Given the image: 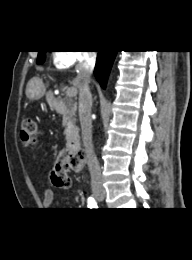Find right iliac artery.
<instances>
[{
  "mask_svg": "<svg viewBox=\"0 0 192 260\" xmlns=\"http://www.w3.org/2000/svg\"><path fill=\"white\" fill-rule=\"evenodd\" d=\"M87 205H88V208H91V209L97 208V202L92 197H89L87 199Z\"/></svg>",
  "mask_w": 192,
  "mask_h": 260,
  "instance_id": "82829eb1",
  "label": "right iliac artery"
}]
</instances>
